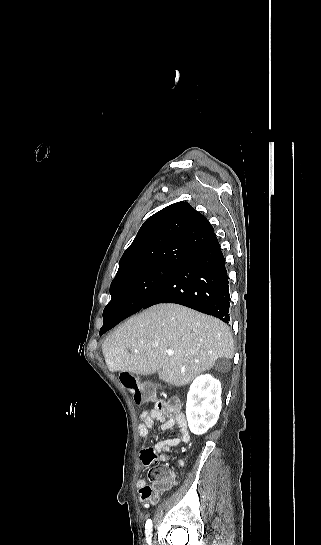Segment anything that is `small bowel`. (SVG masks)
<instances>
[{"mask_svg":"<svg viewBox=\"0 0 321 545\" xmlns=\"http://www.w3.org/2000/svg\"><path fill=\"white\" fill-rule=\"evenodd\" d=\"M156 423L160 424L162 430L176 428L178 433L170 438L161 440L156 444L154 458L149 459L144 452H142L140 455L141 463L146 468H149L148 477L150 479L155 471H160L168 481L174 484L176 483L177 478L175 472L170 467L167 465L154 466L158 461L164 464L169 462L172 448L180 443H186L189 440V429L178 408L172 402L157 403L152 409L145 410L141 413L138 425L139 436L143 440H146L149 430L153 428ZM175 465L177 467H183L184 461L182 459H177ZM144 486H146V481L144 479H139L137 481V487L141 489Z\"/></svg>","mask_w":321,"mask_h":545,"instance_id":"c3829d8e","label":"small bowel"}]
</instances>
